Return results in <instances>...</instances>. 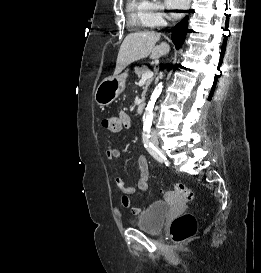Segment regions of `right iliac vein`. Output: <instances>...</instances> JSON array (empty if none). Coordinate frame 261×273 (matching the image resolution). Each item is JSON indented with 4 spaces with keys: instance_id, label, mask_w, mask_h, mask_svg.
I'll return each mask as SVG.
<instances>
[{
    "instance_id": "63e3f726",
    "label": "right iliac vein",
    "mask_w": 261,
    "mask_h": 273,
    "mask_svg": "<svg viewBox=\"0 0 261 273\" xmlns=\"http://www.w3.org/2000/svg\"><path fill=\"white\" fill-rule=\"evenodd\" d=\"M153 142L158 145V140L156 138L153 139Z\"/></svg>"
}]
</instances>
